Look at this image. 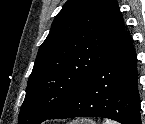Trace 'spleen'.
Here are the masks:
<instances>
[{"instance_id": "1", "label": "spleen", "mask_w": 145, "mask_h": 124, "mask_svg": "<svg viewBox=\"0 0 145 124\" xmlns=\"http://www.w3.org/2000/svg\"><path fill=\"white\" fill-rule=\"evenodd\" d=\"M104 124H117L116 122H113V121H110V120H106L105 122H104Z\"/></svg>"}]
</instances>
